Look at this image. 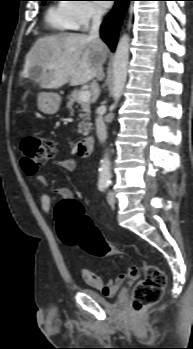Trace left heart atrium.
I'll use <instances>...</instances> for the list:
<instances>
[{
	"instance_id": "obj_1",
	"label": "left heart atrium",
	"mask_w": 193,
	"mask_h": 349,
	"mask_svg": "<svg viewBox=\"0 0 193 349\" xmlns=\"http://www.w3.org/2000/svg\"><path fill=\"white\" fill-rule=\"evenodd\" d=\"M100 6L102 8H108V7H110V4H108V3H100Z\"/></svg>"
}]
</instances>
